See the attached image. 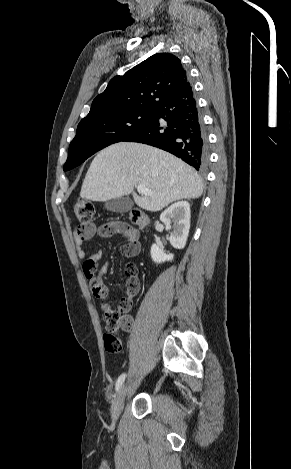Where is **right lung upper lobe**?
Masks as SVG:
<instances>
[{
	"label": "right lung upper lobe",
	"mask_w": 291,
	"mask_h": 469,
	"mask_svg": "<svg viewBox=\"0 0 291 469\" xmlns=\"http://www.w3.org/2000/svg\"><path fill=\"white\" fill-rule=\"evenodd\" d=\"M190 86L179 58L170 53L150 56L123 76H115L92 102L83 119L113 116L134 109L153 110L172 92Z\"/></svg>",
	"instance_id": "1"
}]
</instances>
